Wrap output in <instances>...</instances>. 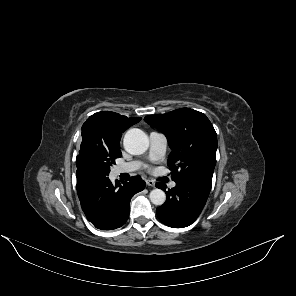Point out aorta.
Instances as JSON below:
<instances>
[{
    "mask_svg": "<svg viewBox=\"0 0 296 296\" xmlns=\"http://www.w3.org/2000/svg\"><path fill=\"white\" fill-rule=\"evenodd\" d=\"M124 148L133 155L143 154L149 147V139L144 131L138 128L128 130L123 140ZM149 198L154 205L161 206L166 200V194L161 189H153Z\"/></svg>",
    "mask_w": 296,
    "mask_h": 296,
    "instance_id": "762f6f07",
    "label": "aorta"
}]
</instances>
